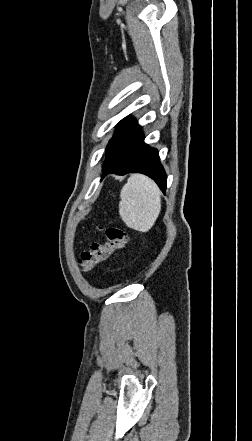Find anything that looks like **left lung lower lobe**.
Instances as JSON below:
<instances>
[{"label":"left lung lower lobe","mask_w":252,"mask_h":441,"mask_svg":"<svg viewBox=\"0 0 252 441\" xmlns=\"http://www.w3.org/2000/svg\"><path fill=\"white\" fill-rule=\"evenodd\" d=\"M104 174L142 173L153 179L163 193L167 176L160 163L158 150L144 143L141 127L134 122L112 162L103 167Z\"/></svg>","instance_id":"left-lung-lower-lobe-1"}]
</instances>
